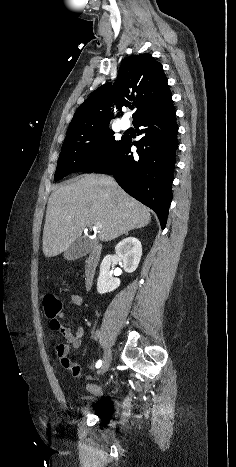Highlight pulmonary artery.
I'll return each instance as SVG.
<instances>
[{"label":"pulmonary artery","instance_id":"1","mask_svg":"<svg viewBox=\"0 0 236 467\" xmlns=\"http://www.w3.org/2000/svg\"><path fill=\"white\" fill-rule=\"evenodd\" d=\"M120 127L123 129V130H126L130 127V121L128 118H122L120 120Z\"/></svg>","mask_w":236,"mask_h":467}]
</instances>
